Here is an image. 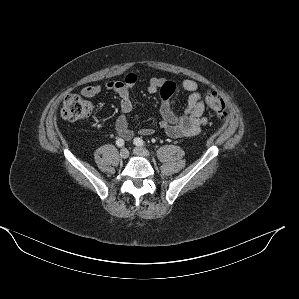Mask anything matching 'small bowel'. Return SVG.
<instances>
[{"instance_id": "1", "label": "small bowel", "mask_w": 299, "mask_h": 299, "mask_svg": "<svg viewBox=\"0 0 299 299\" xmlns=\"http://www.w3.org/2000/svg\"><path fill=\"white\" fill-rule=\"evenodd\" d=\"M136 83L137 76L129 73L123 80L110 81L103 86H87L81 91V95L85 98L95 97L104 90L113 91L119 96L122 114L115 121V129L118 136L126 141L130 140L133 136V131L129 126L126 115L133 108L130 94ZM198 89V83L190 79L180 83L163 77H152L149 79L147 84L148 92L160 93L162 119L159 122V127L167 136L172 138L194 136L207 124L208 119L204 115L205 103ZM181 91L189 92L190 95L185 111L182 114H177L175 111V94ZM153 132L154 129L151 127L140 129L142 135H151Z\"/></svg>"}]
</instances>
